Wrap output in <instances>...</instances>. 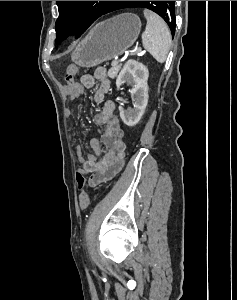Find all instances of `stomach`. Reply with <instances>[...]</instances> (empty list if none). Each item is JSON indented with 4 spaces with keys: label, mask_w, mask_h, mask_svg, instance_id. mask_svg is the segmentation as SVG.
<instances>
[{
    "label": "stomach",
    "mask_w": 237,
    "mask_h": 300,
    "mask_svg": "<svg viewBox=\"0 0 237 300\" xmlns=\"http://www.w3.org/2000/svg\"><path fill=\"white\" fill-rule=\"evenodd\" d=\"M140 31L141 21L134 13L102 21L76 45L71 59L79 67H97L123 55L135 43Z\"/></svg>",
    "instance_id": "0dacf381"
}]
</instances>
